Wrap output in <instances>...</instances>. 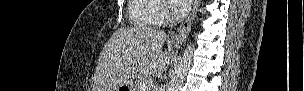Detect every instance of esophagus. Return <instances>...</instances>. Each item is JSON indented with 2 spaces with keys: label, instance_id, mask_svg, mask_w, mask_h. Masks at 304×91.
I'll list each match as a JSON object with an SVG mask.
<instances>
[{
  "label": "esophagus",
  "instance_id": "esophagus-1",
  "mask_svg": "<svg viewBox=\"0 0 304 91\" xmlns=\"http://www.w3.org/2000/svg\"><path fill=\"white\" fill-rule=\"evenodd\" d=\"M200 5V0H195L194 1V5L193 8L191 10V13L189 14V16L179 25L178 29L176 30V32L171 36L170 38V43L172 45L175 46H180L182 45L191 30V26L192 23L194 21V18L196 17L197 11H198V7Z\"/></svg>",
  "mask_w": 304,
  "mask_h": 91
}]
</instances>
